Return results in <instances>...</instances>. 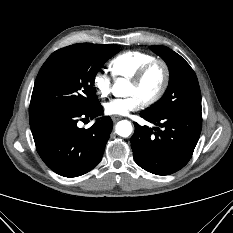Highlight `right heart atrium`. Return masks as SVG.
Instances as JSON below:
<instances>
[{"mask_svg": "<svg viewBox=\"0 0 233 233\" xmlns=\"http://www.w3.org/2000/svg\"><path fill=\"white\" fill-rule=\"evenodd\" d=\"M94 88L101 98H106L111 91L112 78L107 71L100 70L93 77Z\"/></svg>", "mask_w": 233, "mask_h": 233, "instance_id": "d8ad5b80", "label": "right heart atrium"}]
</instances>
